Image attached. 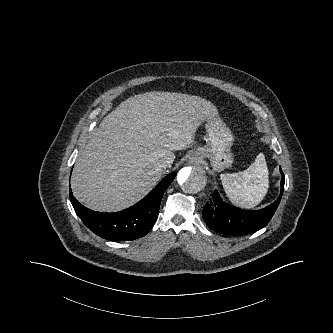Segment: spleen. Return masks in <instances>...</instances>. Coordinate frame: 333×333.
<instances>
[{
  "instance_id": "spleen-1",
  "label": "spleen",
  "mask_w": 333,
  "mask_h": 333,
  "mask_svg": "<svg viewBox=\"0 0 333 333\" xmlns=\"http://www.w3.org/2000/svg\"><path fill=\"white\" fill-rule=\"evenodd\" d=\"M269 172L265 155L260 153L248 169L238 173L221 174V181L229 200L235 205L252 209L266 196Z\"/></svg>"
}]
</instances>
